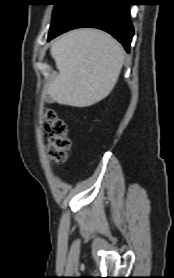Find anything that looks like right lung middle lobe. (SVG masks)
Returning a JSON list of instances; mask_svg holds the SVG:
<instances>
[{
    "label": "right lung middle lobe",
    "instance_id": "right-lung-middle-lobe-1",
    "mask_svg": "<svg viewBox=\"0 0 174 278\" xmlns=\"http://www.w3.org/2000/svg\"><path fill=\"white\" fill-rule=\"evenodd\" d=\"M53 1H54L55 8L53 11V19H52L50 29L59 25L67 15V13L70 11V9L79 2V0H53Z\"/></svg>",
    "mask_w": 174,
    "mask_h": 278
}]
</instances>
